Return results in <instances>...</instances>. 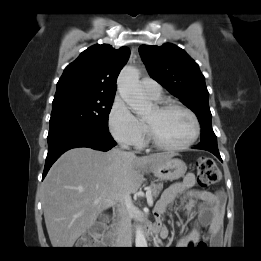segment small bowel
<instances>
[{"instance_id": "c3829d8e", "label": "small bowel", "mask_w": 261, "mask_h": 261, "mask_svg": "<svg viewBox=\"0 0 261 261\" xmlns=\"http://www.w3.org/2000/svg\"><path fill=\"white\" fill-rule=\"evenodd\" d=\"M179 199V205L186 207L187 216H196L194 227L179 242L180 247H189L191 242L200 237V226H208V239L211 244H219L223 226L225 196L223 193L210 192L197 188V180L193 174H187L182 181L171 184L162 194L156 207L157 227L164 228L161 218L168 207ZM195 202L199 209L195 213Z\"/></svg>"}]
</instances>
